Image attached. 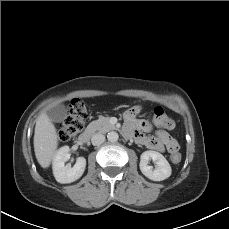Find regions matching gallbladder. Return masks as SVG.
<instances>
[{
  "label": "gallbladder",
  "mask_w": 229,
  "mask_h": 229,
  "mask_svg": "<svg viewBox=\"0 0 229 229\" xmlns=\"http://www.w3.org/2000/svg\"><path fill=\"white\" fill-rule=\"evenodd\" d=\"M48 117L55 121L61 122L67 117V108L64 104H57L48 110Z\"/></svg>",
  "instance_id": "gallbladder-1"
}]
</instances>
